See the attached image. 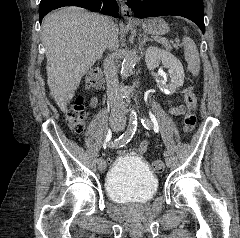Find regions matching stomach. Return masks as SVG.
Wrapping results in <instances>:
<instances>
[{
	"instance_id": "0dacf381",
	"label": "stomach",
	"mask_w": 240,
	"mask_h": 238,
	"mask_svg": "<svg viewBox=\"0 0 240 238\" xmlns=\"http://www.w3.org/2000/svg\"><path fill=\"white\" fill-rule=\"evenodd\" d=\"M139 24L145 33L151 35H164L169 31L168 24L162 18L146 19Z\"/></svg>"
}]
</instances>
